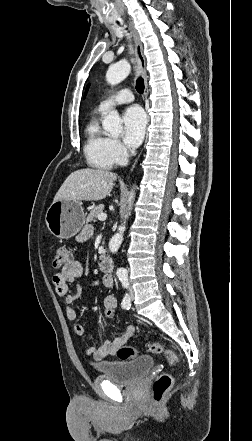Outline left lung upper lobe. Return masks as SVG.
<instances>
[{
	"label": "left lung upper lobe",
	"mask_w": 252,
	"mask_h": 441,
	"mask_svg": "<svg viewBox=\"0 0 252 441\" xmlns=\"http://www.w3.org/2000/svg\"><path fill=\"white\" fill-rule=\"evenodd\" d=\"M88 88H89V85L87 86V89H86L85 95H86V93H87Z\"/></svg>",
	"instance_id": "5c2ea615"
}]
</instances>
